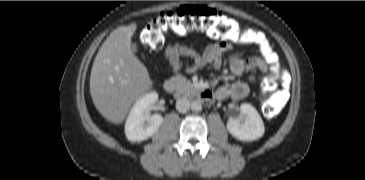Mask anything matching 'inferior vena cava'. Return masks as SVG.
I'll list each match as a JSON object with an SVG mask.
<instances>
[{"label":"inferior vena cava","mask_w":365,"mask_h":180,"mask_svg":"<svg viewBox=\"0 0 365 180\" xmlns=\"http://www.w3.org/2000/svg\"><path fill=\"white\" fill-rule=\"evenodd\" d=\"M190 101L183 97L180 98L176 101V109L180 112V113H185L189 110L190 108Z\"/></svg>","instance_id":"1"}]
</instances>
